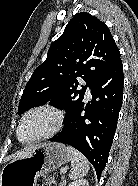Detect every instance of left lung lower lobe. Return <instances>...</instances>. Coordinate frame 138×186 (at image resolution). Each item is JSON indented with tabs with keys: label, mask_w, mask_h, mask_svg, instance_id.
Returning a JSON list of instances; mask_svg holds the SVG:
<instances>
[{
	"label": "left lung lower lobe",
	"mask_w": 138,
	"mask_h": 186,
	"mask_svg": "<svg viewBox=\"0 0 138 186\" xmlns=\"http://www.w3.org/2000/svg\"><path fill=\"white\" fill-rule=\"evenodd\" d=\"M121 59L104 71L90 86L92 100L82 101L70 113L62 132L50 139L71 145L94 166L97 178L106 166L123 99ZM85 111V113H82Z\"/></svg>",
	"instance_id": "left-lung-lower-lobe-1"
}]
</instances>
